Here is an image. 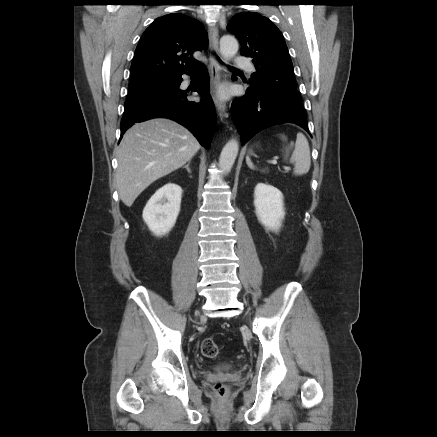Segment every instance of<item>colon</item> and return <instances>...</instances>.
<instances>
[{
	"label": "colon",
	"mask_w": 437,
	"mask_h": 437,
	"mask_svg": "<svg viewBox=\"0 0 437 437\" xmlns=\"http://www.w3.org/2000/svg\"><path fill=\"white\" fill-rule=\"evenodd\" d=\"M201 351L205 357L210 359H216L220 356V350L217 344L211 338H206L202 341ZM215 392L218 397L224 398L227 395V388L224 384L218 383L215 386Z\"/></svg>",
	"instance_id": "1"
}]
</instances>
